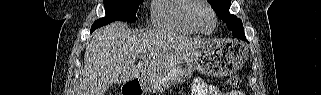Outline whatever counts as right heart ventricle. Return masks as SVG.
Returning <instances> with one entry per match:
<instances>
[{
    "mask_svg": "<svg viewBox=\"0 0 321 95\" xmlns=\"http://www.w3.org/2000/svg\"><path fill=\"white\" fill-rule=\"evenodd\" d=\"M192 0H154L151 23L155 28L184 34L199 33L189 18Z\"/></svg>",
    "mask_w": 321,
    "mask_h": 95,
    "instance_id": "1",
    "label": "right heart ventricle"
}]
</instances>
